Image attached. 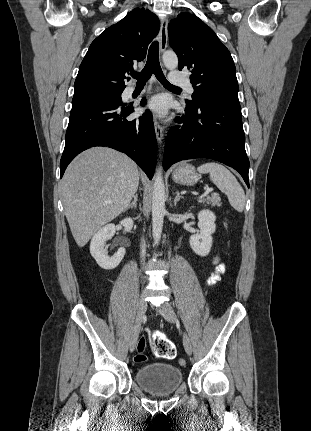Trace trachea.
<instances>
[{
  "instance_id": "3493384b",
  "label": "trachea",
  "mask_w": 311,
  "mask_h": 431,
  "mask_svg": "<svg viewBox=\"0 0 311 431\" xmlns=\"http://www.w3.org/2000/svg\"><path fill=\"white\" fill-rule=\"evenodd\" d=\"M153 73L156 76L157 80L162 83V85L168 88L180 89L179 87L171 85V83L168 82L162 72L159 63V44L157 41H154L149 48L147 62L143 70L140 73L132 72L131 76L133 78H136L137 83L145 84L150 79Z\"/></svg>"
}]
</instances>
